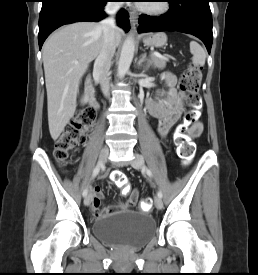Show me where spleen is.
Wrapping results in <instances>:
<instances>
[{"instance_id":"3e777b00","label":"spleen","mask_w":258,"mask_h":275,"mask_svg":"<svg viewBox=\"0 0 258 275\" xmlns=\"http://www.w3.org/2000/svg\"><path fill=\"white\" fill-rule=\"evenodd\" d=\"M190 52L193 55L192 61L194 65L203 66L205 64V51L196 41L190 42Z\"/></svg>"}]
</instances>
